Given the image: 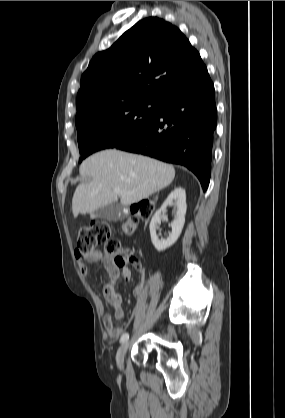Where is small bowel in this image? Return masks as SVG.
<instances>
[{"label": "small bowel", "instance_id": "obj_1", "mask_svg": "<svg viewBox=\"0 0 285 418\" xmlns=\"http://www.w3.org/2000/svg\"><path fill=\"white\" fill-rule=\"evenodd\" d=\"M101 263L113 279L122 277L124 282H130L133 273L129 266L118 265L111 255L105 252H100L91 258L89 261L79 263L80 273L87 277L89 274L88 264ZM135 296L139 297L142 294V285L138 283L135 287ZM104 297L108 304L112 307V313L105 314L102 318L103 326L107 334L111 338H118L123 333V328L114 325L113 317L118 320L124 319V311L122 308V295L115 290L114 287L108 286L103 290Z\"/></svg>", "mask_w": 285, "mask_h": 418}]
</instances>
